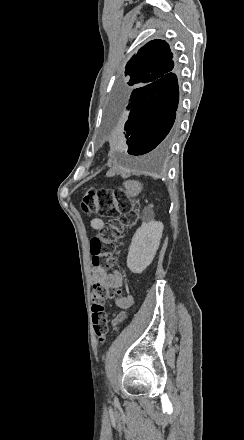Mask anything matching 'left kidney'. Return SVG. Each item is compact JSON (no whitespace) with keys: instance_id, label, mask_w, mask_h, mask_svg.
Instances as JSON below:
<instances>
[{"instance_id":"1","label":"left kidney","mask_w":244,"mask_h":440,"mask_svg":"<svg viewBox=\"0 0 244 440\" xmlns=\"http://www.w3.org/2000/svg\"><path fill=\"white\" fill-rule=\"evenodd\" d=\"M162 222H142L129 246L127 266L133 274H142L150 266L159 248L163 232Z\"/></svg>"}]
</instances>
